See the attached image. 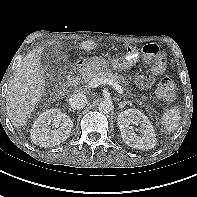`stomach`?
Returning <instances> with one entry per match:
<instances>
[{"label":"stomach","mask_w":197,"mask_h":197,"mask_svg":"<svg viewBox=\"0 0 197 197\" xmlns=\"http://www.w3.org/2000/svg\"><path fill=\"white\" fill-rule=\"evenodd\" d=\"M139 60V54L135 49H129L124 55L114 58L109 62L91 57L84 59L79 65L86 71H98L112 68L113 70H127L133 67Z\"/></svg>","instance_id":"obj_1"}]
</instances>
